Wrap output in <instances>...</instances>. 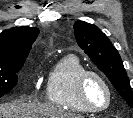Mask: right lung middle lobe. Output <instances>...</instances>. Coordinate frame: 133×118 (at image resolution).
Instances as JSON below:
<instances>
[{"mask_svg":"<svg viewBox=\"0 0 133 118\" xmlns=\"http://www.w3.org/2000/svg\"><path fill=\"white\" fill-rule=\"evenodd\" d=\"M24 62L16 64H0V97L9 92L17 84V74Z\"/></svg>","mask_w":133,"mask_h":118,"instance_id":"dd1d6c3e","label":"right lung middle lobe"}]
</instances>
